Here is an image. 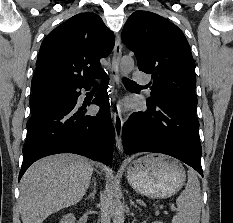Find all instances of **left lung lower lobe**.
Instances as JSON below:
<instances>
[{
    "label": "left lung lower lobe",
    "instance_id": "obj_1",
    "mask_svg": "<svg viewBox=\"0 0 233 223\" xmlns=\"http://www.w3.org/2000/svg\"><path fill=\"white\" fill-rule=\"evenodd\" d=\"M126 154L155 152L173 156L203 176L202 148L196 107L181 104L150 106L133 113L123 126Z\"/></svg>",
    "mask_w": 233,
    "mask_h": 223
}]
</instances>
